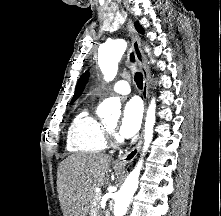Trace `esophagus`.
Returning <instances> with one entry per match:
<instances>
[{
  "label": "esophagus",
  "mask_w": 221,
  "mask_h": 216,
  "mask_svg": "<svg viewBox=\"0 0 221 216\" xmlns=\"http://www.w3.org/2000/svg\"><path fill=\"white\" fill-rule=\"evenodd\" d=\"M128 28H129V31H130L131 37H132V47H133L137 62L139 64V67L143 73L144 81H143L142 98H143L144 105L146 108L147 97L149 94V71H148V67H147V61H146V57H145V55L142 51V48H141L140 37L137 34L131 20L128 21ZM141 144H142V134L140 136L138 143L130 151L119 156L118 159L116 160V163L124 166V165L132 162L136 158V156L141 148Z\"/></svg>",
  "instance_id": "34e87169"
}]
</instances>
